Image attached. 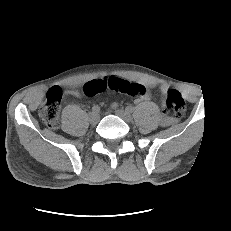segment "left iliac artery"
<instances>
[{
  "label": "left iliac artery",
  "instance_id": "left-iliac-artery-1",
  "mask_svg": "<svg viewBox=\"0 0 231 231\" xmlns=\"http://www.w3.org/2000/svg\"><path fill=\"white\" fill-rule=\"evenodd\" d=\"M126 111L129 113H132L134 111V107L133 106H127Z\"/></svg>",
  "mask_w": 231,
  "mask_h": 231
}]
</instances>
